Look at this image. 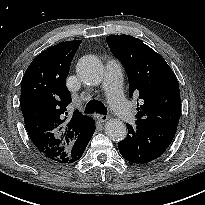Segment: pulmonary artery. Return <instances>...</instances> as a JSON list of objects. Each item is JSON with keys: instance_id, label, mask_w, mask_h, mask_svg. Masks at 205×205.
<instances>
[{"instance_id": "pulmonary-artery-1", "label": "pulmonary artery", "mask_w": 205, "mask_h": 205, "mask_svg": "<svg viewBox=\"0 0 205 205\" xmlns=\"http://www.w3.org/2000/svg\"><path fill=\"white\" fill-rule=\"evenodd\" d=\"M122 67L119 61L107 62L102 84L106 87V96L111 106L117 111L120 120L127 124L133 119L129 102L121 92Z\"/></svg>"}]
</instances>
